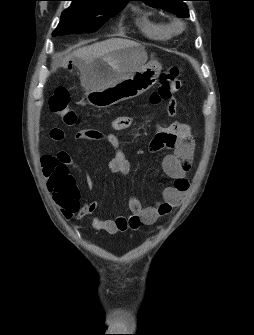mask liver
<instances>
[{
    "mask_svg": "<svg viewBox=\"0 0 254 335\" xmlns=\"http://www.w3.org/2000/svg\"><path fill=\"white\" fill-rule=\"evenodd\" d=\"M138 43L121 38H112L102 42H97L89 46L77 49L71 55L66 56L62 61V66L68 64L69 59L76 58L78 60V67L81 72V84L85 87V73L90 69L91 64L100 57H108L111 53L127 48L130 46H137ZM124 76L120 75L116 80L123 79Z\"/></svg>",
    "mask_w": 254,
    "mask_h": 335,
    "instance_id": "1",
    "label": "liver"
}]
</instances>
